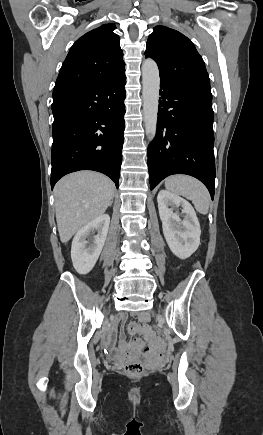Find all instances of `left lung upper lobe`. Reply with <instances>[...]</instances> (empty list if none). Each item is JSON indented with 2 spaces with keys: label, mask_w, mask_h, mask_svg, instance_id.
Here are the masks:
<instances>
[{
  "label": "left lung upper lobe",
  "mask_w": 263,
  "mask_h": 435,
  "mask_svg": "<svg viewBox=\"0 0 263 435\" xmlns=\"http://www.w3.org/2000/svg\"><path fill=\"white\" fill-rule=\"evenodd\" d=\"M145 55L158 64L161 81L212 95L202 57L180 32L165 26L155 27L147 40Z\"/></svg>",
  "instance_id": "5c2ea615"
}]
</instances>
